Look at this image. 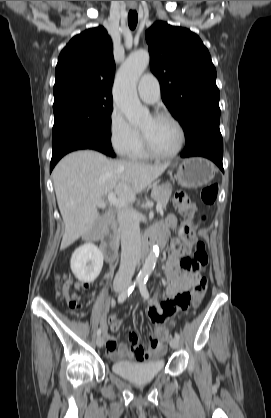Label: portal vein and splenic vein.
<instances>
[{
    "instance_id": "obj_1",
    "label": "portal vein and splenic vein",
    "mask_w": 271,
    "mask_h": 418,
    "mask_svg": "<svg viewBox=\"0 0 271 418\" xmlns=\"http://www.w3.org/2000/svg\"><path fill=\"white\" fill-rule=\"evenodd\" d=\"M108 201L110 204H112L115 207L121 208L127 205V203L121 199H118L116 197V194L114 192H110L108 193ZM156 210L162 211V205L160 203H157L156 205Z\"/></svg>"
}]
</instances>
